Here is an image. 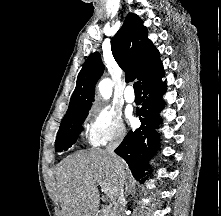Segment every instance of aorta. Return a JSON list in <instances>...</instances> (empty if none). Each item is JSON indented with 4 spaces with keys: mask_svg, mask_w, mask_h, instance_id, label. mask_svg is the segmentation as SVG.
I'll return each mask as SVG.
<instances>
[{
    "mask_svg": "<svg viewBox=\"0 0 221 216\" xmlns=\"http://www.w3.org/2000/svg\"><path fill=\"white\" fill-rule=\"evenodd\" d=\"M112 81L110 79H103L100 81L98 87L100 94L102 95L103 98L108 99L112 95Z\"/></svg>",
    "mask_w": 221,
    "mask_h": 216,
    "instance_id": "obj_1",
    "label": "aorta"
}]
</instances>
